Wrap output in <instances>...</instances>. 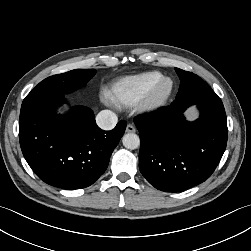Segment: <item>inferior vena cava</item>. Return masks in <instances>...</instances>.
Instances as JSON below:
<instances>
[{
  "label": "inferior vena cava",
  "instance_id": "1",
  "mask_svg": "<svg viewBox=\"0 0 251 251\" xmlns=\"http://www.w3.org/2000/svg\"><path fill=\"white\" fill-rule=\"evenodd\" d=\"M118 118L110 110H102L96 116L97 125L103 130H111L117 124Z\"/></svg>",
  "mask_w": 251,
  "mask_h": 251
}]
</instances>
